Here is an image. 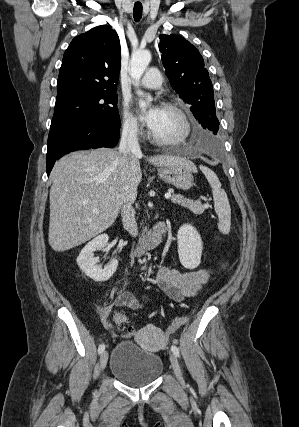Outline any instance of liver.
Instances as JSON below:
<instances>
[{"label":"liver","mask_w":299,"mask_h":427,"mask_svg":"<svg viewBox=\"0 0 299 427\" xmlns=\"http://www.w3.org/2000/svg\"><path fill=\"white\" fill-rule=\"evenodd\" d=\"M117 150L98 148L72 152L52 169L48 241L62 252L105 231L122 205L132 204L142 181L139 159ZM154 166L197 168L190 160L169 155L147 159Z\"/></svg>","instance_id":"obj_1"}]
</instances>
